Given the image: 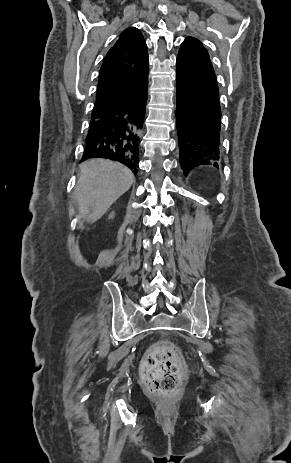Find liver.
Here are the masks:
<instances>
[{
  "label": "liver",
  "mask_w": 291,
  "mask_h": 463,
  "mask_svg": "<svg viewBox=\"0 0 291 463\" xmlns=\"http://www.w3.org/2000/svg\"><path fill=\"white\" fill-rule=\"evenodd\" d=\"M80 171L74 197L79 217L88 223L99 220L134 182L128 168L104 159H90L81 164Z\"/></svg>",
  "instance_id": "obj_1"
}]
</instances>
